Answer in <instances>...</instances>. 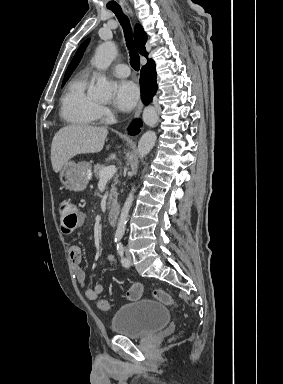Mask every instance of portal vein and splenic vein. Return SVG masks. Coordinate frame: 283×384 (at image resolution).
Returning <instances> with one entry per match:
<instances>
[{
    "mask_svg": "<svg viewBox=\"0 0 283 384\" xmlns=\"http://www.w3.org/2000/svg\"><path fill=\"white\" fill-rule=\"evenodd\" d=\"M116 172L115 166H107V168H103L100 172V182H108L113 178Z\"/></svg>",
    "mask_w": 283,
    "mask_h": 384,
    "instance_id": "portal-vein-and-splenic-vein-1",
    "label": "portal vein and splenic vein"
}]
</instances>
